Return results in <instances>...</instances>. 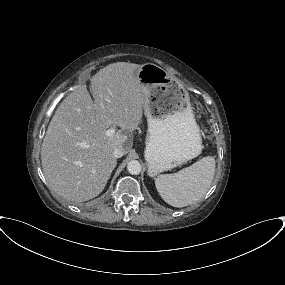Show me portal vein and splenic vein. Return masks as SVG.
<instances>
[{
    "label": "portal vein and splenic vein",
    "mask_w": 285,
    "mask_h": 285,
    "mask_svg": "<svg viewBox=\"0 0 285 285\" xmlns=\"http://www.w3.org/2000/svg\"><path fill=\"white\" fill-rule=\"evenodd\" d=\"M115 131H116V129L115 128H113V127H111L110 129H108L107 131H106V136L107 137H110V136H112L114 133H115Z\"/></svg>",
    "instance_id": "1"
}]
</instances>
